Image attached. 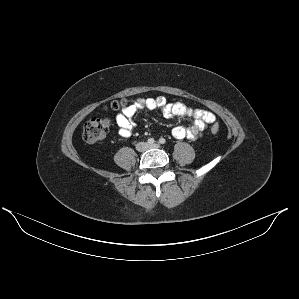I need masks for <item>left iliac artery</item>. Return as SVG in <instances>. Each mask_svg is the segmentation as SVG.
Instances as JSON below:
<instances>
[{
    "label": "left iliac artery",
    "mask_w": 299,
    "mask_h": 299,
    "mask_svg": "<svg viewBox=\"0 0 299 299\" xmlns=\"http://www.w3.org/2000/svg\"><path fill=\"white\" fill-rule=\"evenodd\" d=\"M159 143H160V144H165V143H166V140H165L164 138H160V139H159Z\"/></svg>",
    "instance_id": "obj_1"
}]
</instances>
